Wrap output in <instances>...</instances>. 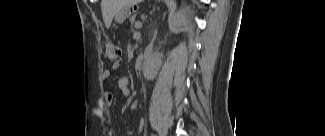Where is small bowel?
<instances>
[{
    "label": "small bowel",
    "mask_w": 325,
    "mask_h": 136,
    "mask_svg": "<svg viewBox=\"0 0 325 136\" xmlns=\"http://www.w3.org/2000/svg\"><path fill=\"white\" fill-rule=\"evenodd\" d=\"M119 66H120L119 63L113 64L114 69H117ZM111 76H112L111 72L109 70H106L103 73V80L107 81V80L111 79ZM117 87L123 96H125V97L130 96L131 90L129 87V79L126 76H121L118 78ZM103 98L107 105H112L115 101L114 94L111 91H105ZM135 107H136V104H135Z\"/></svg>",
    "instance_id": "1"
}]
</instances>
